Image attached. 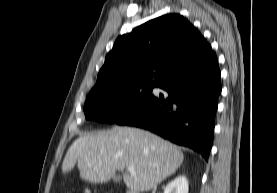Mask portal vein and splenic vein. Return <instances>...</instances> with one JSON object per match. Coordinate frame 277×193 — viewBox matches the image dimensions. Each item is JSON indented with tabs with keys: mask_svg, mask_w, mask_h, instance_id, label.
Here are the masks:
<instances>
[{
	"mask_svg": "<svg viewBox=\"0 0 277 193\" xmlns=\"http://www.w3.org/2000/svg\"><path fill=\"white\" fill-rule=\"evenodd\" d=\"M127 169L130 173H134V171H135L133 166H129Z\"/></svg>",
	"mask_w": 277,
	"mask_h": 193,
	"instance_id": "1",
	"label": "portal vein and splenic vein"
}]
</instances>
